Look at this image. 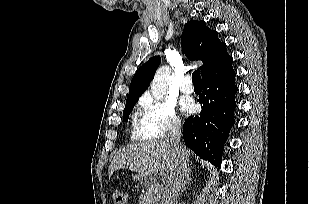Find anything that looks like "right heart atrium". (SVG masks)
Wrapping results in <instances>:
<instances>
[{"label": "right heart atrium", "instance_id": "d8ad5b80", "mask_svg": "<svg viewBox=\"0 0 309 204\" xmlns=\"http://www.w3.org/2000/svg\"><path fill=\"white\" fill-rule=\"evenodd\" d=\"M141 106L143 109L141 137L161 138L181 128V119L172 101L147 95L141 100Z\"/></svg>", "mask_w": 309, "mask_h": 204}]
</instances>
